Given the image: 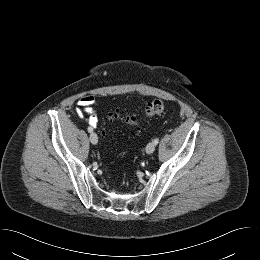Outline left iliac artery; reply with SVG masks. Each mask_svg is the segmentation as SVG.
I'll use <instances>...</instances> for the list:
<instances>
[{
	"label": "left iliac artery",
	"instance_id": "44dca946",
	"mask_svg": "<svg viewBox=\"0 0 260 260\" xmlns=\"http://www.w3.org/2000/svg\"><path fill=\"white\" fill-rule=\"evenodd\" d=\"M154 144L157 145L159 143V138L154 139Z\"/></svg>",
	"mask_w": 260,
	"mask_h": 260
}]
</instances>
